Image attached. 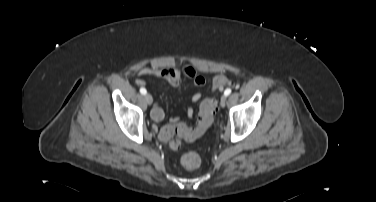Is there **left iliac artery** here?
I'll return each mask as SVG.
<instances>
[{
    "label": "left iliac artery",
    "instance_id": "1",
    "mask_svg": "<svg viewBox=\"0 0 376 202\" xmlns=\"http://www.w3.org/2000/svg\"><path fill=\"white\" fill-rule=\"evenodd\" d=\"M230 93H231V89H230V88H227V89L224 91V95H225V96H228Z\"/></svg>",
    "mask_w": 376,
    "mask_h": 202
}]
</instances>
